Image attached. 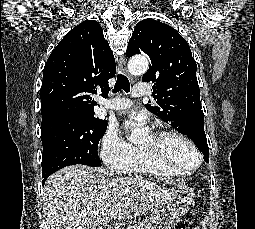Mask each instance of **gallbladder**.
<instances>
[{
    "mask_svg": "<svg viewBox=\"0 0 255 229\" xmlns=\"http://www.w3.org/2000/svg\"><path fill=\"white\" fill-rule=\"evenodd\" d=\"M96 229H101V227H97Z\"/></svg>",
    "mask_w": 255,
    "mask_h": 229,
    "instance_id": "bac80fb5",
    "label": "gallbladder"
}]
</instances>
